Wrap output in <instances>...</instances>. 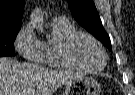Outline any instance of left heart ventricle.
Here are the masks:
<instances>
[{"label": "left heart ventricle", "mask_w": 135, "mask_h": 95, "mask_svg": "<svg viewBox=\"0 0 135 95\" xmlns=\"http://www.w3.org/2000/svg\"><path fill=\"white\" fill-rule=\"evenodd\" d=\"M73 57L82 65L98 68L103 64V56L99 48L89 39L79 38L72 48Z\"/></svg>", "instance_id": "1"}]
</instances>
